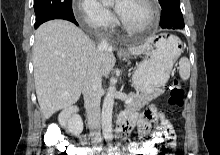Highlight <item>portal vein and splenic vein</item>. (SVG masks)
I'll list each match as a JSON object with an SVG mask.
<instances>
[{"mask_svg":"<svg viewBox=\"0 0 220 155\" xmlns=\"http://www.w3.org/2000/svg\"><path fill=\"white\" fill-rule=\"evenodd\" d=\"M130 102H132V98H129L125 101V104H129Z\"/></svg>","mask_w":220,"mask_h":155,"instance_id":"obj_1","label":"portal vein and splenic vein"}]
</instances>
